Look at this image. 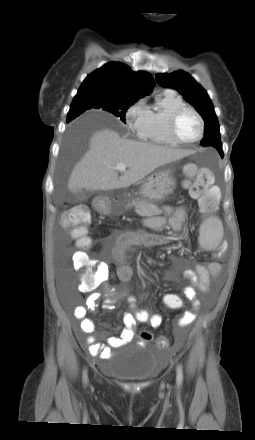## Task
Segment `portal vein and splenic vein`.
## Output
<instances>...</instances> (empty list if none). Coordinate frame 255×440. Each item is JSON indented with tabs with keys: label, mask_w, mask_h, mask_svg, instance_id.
<instances>
[{
	"label": "portal vein and splenic vein",
	"mask_w": 255,
	"mask_h": 440,
	"mask_svg": "<svg viewBox=\"0 0 255 440\" xmlns=\"http://www.w3.org/2000/svg\"><path fill=\"white\" fill-rule=\"evenodd\" d=\"M115 169L118 170V171H123V172H125V171H126V164H124V163H118V164L116 165Z\"/></svg>",
	"instance_id": "obj_1"
}]
</instances>
